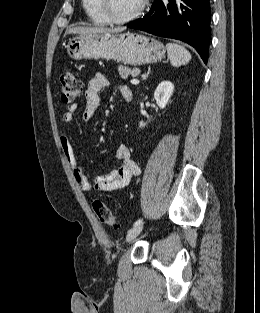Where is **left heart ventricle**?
Returning <instances> with one entry per match:
<instances>
[{"label": "left heart ventricle", "instance_id": "1", "mask_svg": "<svg viewBox=\"0 0 260 313\" xmlns=\"http://www.w3.org/2000/svg\"><path fill=\"white\" fill-rule=\"evenodd\" d=\"M111 11L116 17H125L133 13L141 0H110Z\"/></svg>", "mask_w": 260, "mask_h": 313}]
</instances>
